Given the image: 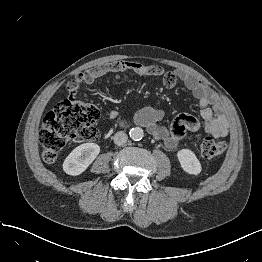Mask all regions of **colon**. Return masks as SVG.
Wrapping results in <instances>:
<instances>
[{
	"mask_svg": "<svg viewBox=\"0 0 262 262\" xmlns=\"http://www.w3.org/2000/svg\"><path fill=\"white\" fill-rule=\"evenodd\" d=\"M91 80L88 73L79 74L74 80L67 83L68 96L56 104L47 113L39 130L42 144V158L46 163H53L67 142L73 138L93 140L97 137L95 125L99 119V109L77 97V92L82 84ZM198 147L205 158L221 156L227 146L224 141L211 137L199 139Z\"/></svg>",
	"mask_w": 262,
	"mask_h": 262,
	"instance_id": "1",
	"label": "colon"
}]
</instances>
